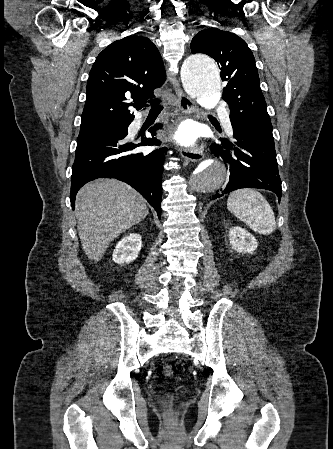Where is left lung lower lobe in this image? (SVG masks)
Returning a JSON list of instances; mask_svg holds the SVG:
<instances>
[{
    "label": "left lung lower lobe",
    "instance_id": "left-lung-lower-lobe-1",
    "mask_svg": "<svg viewBox=\"0 0 333 449\" xmlns=\"http://www.w3.org/2000/svg\"><path fill=\"white\" fill-rule=\"evenodd\" d=\"M234 142L220 138L214 154L221 157L230 169V178L224 191L211 200L240 188H261L273 191L281 198V180L278 173L274 138L269 133L231 123Z\"/></svg>",
    "mask_w": 333,
    "mask_h": 449
}]
</instances>
